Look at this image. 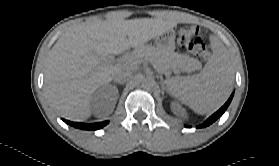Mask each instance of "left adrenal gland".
<instances>
[{"instance_id": "obj_1", "label": "left adrenal gland", "mask_w": 279, "mask_h": 166, "mask_svg": "<svg viewBox=\"0 0 279 166\" xmlns=\"http://www.w3.org/2000/svg\"><path fill=\"white\" fill-rule=\"evenodd\" d=\"M162 86H163V88L165 89V87H164V83H162ZM167 91V90H166Z\"/></svg>"}]
</instances>
